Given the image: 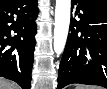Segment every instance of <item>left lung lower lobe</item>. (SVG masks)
<instances>
[{"label": "left lung lower lobe", "mask_w": 107, "mask_h": 89, "mask_svg": "<svg viewBox=\"0 0 107 89\" xmlns=\"http://www.w3.org/2000/svg\"><path fill=\"white\" fill-rule=\"evenodd\" d=\"M75 4L80 21L71 20L57 89L72 83L107 88V7L84 0L72 1L71 7Z\"/></svg>", "instance_id": "0a47b994"}]
</instances>
